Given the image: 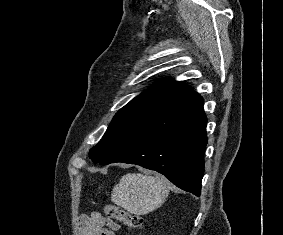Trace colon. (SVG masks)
<instances>
[{"instance_id": "obj_1", "label": "colon", "mask_w": 283, "mask_h": 235, "mask_svg": "<svg viewBox=\"0 0 283 235\" xmlns=\"http://www.w3.org/2000/svg\"><path fill=\"white\" fill-rule=\"evenodd\" d=\"M104 211L109 220L120 222L128 227L141 229L144 225V219L141 216L130 213L114 204H107Z\"/></svg>"}]
</instances>
